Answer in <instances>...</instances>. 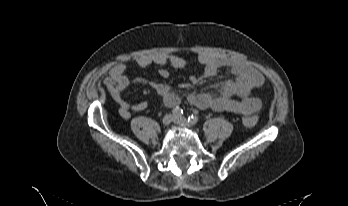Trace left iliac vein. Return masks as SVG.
<instances>
[{
	"mask_svg": "<svg viewBox=\"0 0 348 206\" xmlns=\"http://www.w3.org/2000/svg\"><path fill=\"white\" fill-rule=\"evenodd\" d=\"M173 121L176 124L184 126V127H191L192 126V124H190L188 122V120L186 118H184V117H179V118L175 117Z\"/></svg>",
	"mask_w": 348,
	"mask_h": 206,
	"instance_id": "obj_1",
	"label": "left iliac vein"
}]
</instances>
